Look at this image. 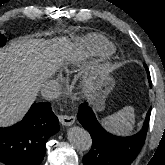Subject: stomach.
<instances>
[{"label": "stomach", "instance_id": "stomach-1", "mask_svg": "<svg viewBox=\"0 0 165 165\" xmlns=\"http://www.w3.org/2000/svg\"><path fill=\"white\" fill-rule=\"evenodd\" d=\"M115 87V79L110 75L99 77L89 94V99L93 104L95 111L101 112L106 105V99Z\"/></svg>", "mask_w": 165, "mask_h": 165}]
</instances>
